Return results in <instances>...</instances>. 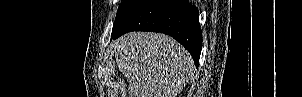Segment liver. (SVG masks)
I'll use <instances>...</instances> for the list:
<instances>
[{
    "instance_id": "1",
    "label": "liver",
    "mask_w": 302,
    "mask_h": 97,
    "mask_svg": "<svg viewBox=\"0 0 302 97\" xmlns=\"http://www.w3.org/2000/svg\"><path fill=\"white\" fill-rule=\"evenodd\" d=\"M114 51L129 97H177L195 71L187 50L160 33H127L114 42Z\"/></svg>"
}]
</instances>
